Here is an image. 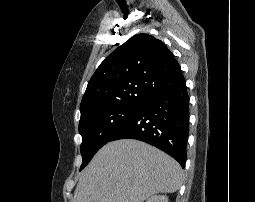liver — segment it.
<instances>
[{
	"label": "liver",
	"mask_w": 255,
	"mask_h": 202,
	"mask_svg": "<svg viewBox=\"0 0 255 202\" xmlns=\"http://www.w3.org/2000/svg\"><path fill=\"white\" fill-rule=\"evenodd\" d=\"M182 168L172 157L135 139L107 143L84 169L73 202H143L174 193Z\"/></svg>",
	"instance_id": "obj_1"
}]
</instances>
